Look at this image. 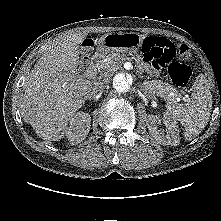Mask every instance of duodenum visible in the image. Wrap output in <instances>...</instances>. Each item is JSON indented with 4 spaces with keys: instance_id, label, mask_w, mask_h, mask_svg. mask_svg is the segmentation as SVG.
<instances>
[{
    "instance_id": "duodenum-1",
    "label": "duodenum",
    "mask_w": 221,
    "mask_h": 221,
    "mask_svg": "<svg viewBox=\"0 0 221 221\" xmlns=\"http://www.w3.org/2000/svg\"><path fill=\"white\" fill-rule=\"evenodd\" d=\"M101 57V54L100 53H97L95 55H93L91 57V59H88L86 61V69H87V73L89 75H94L95 72H96V69H97V64H98V61Z\"/></svg>"
}]
</instances>
